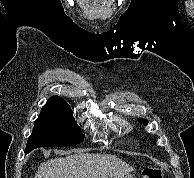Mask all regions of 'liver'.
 I'll return each mask as SVG.
<instances>
[{
	"label": "liver",
	"mask_w": 194,
	"mask_h": 178,
	"mask_svg": "<svg viewBox=\"0 0 194 178\" xmlns=\"http://www.w3.org/2000/svg\"><path fill=\"white\" fill-rule=\"evenodd\" d=\"M132 170L115 155L79 153L42 163L34 178H112Z\"/></svg>",
	"instance_id": "liver-1"
}]
</instances>
